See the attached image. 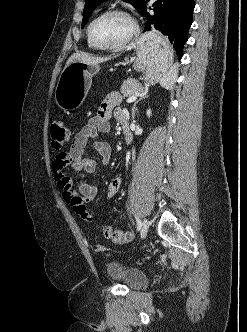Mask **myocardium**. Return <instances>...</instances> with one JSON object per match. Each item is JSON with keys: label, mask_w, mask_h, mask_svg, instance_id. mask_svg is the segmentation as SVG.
I'll list each match as a JSON object with an SVG mask.
<instances>
[{"label": "myocardium", "mask_w": 247, "mask_h": 332, "mask_svg": "<svg viewBox=\"0 0 247 332\" xmlns=\"http://www.w3.org/2000/svg\"><path fill=\"white\" fill-rule=\"evenodd\" d=\"M121 15L126 17L130 24H131V30L130 32L127 34V36L120 41L119 43L113 44V45H102L100 43H98L93 36V26L95 25V23L100 20L101 18L108 16V15ZM138 33V24L136 22V20L126 11L121 10V9H108L102 13H100L98 16H96L88 25L87 28V35L89 40L91 41V43L98 49H102V50H119L122 49L123 47H125L127 44H129V42L136 36V34Z\"/></svg>", "instance_id": "f54148a6"}]
</instances>
